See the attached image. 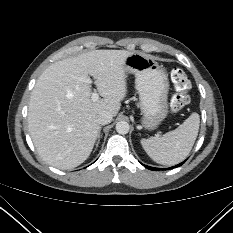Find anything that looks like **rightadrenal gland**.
Segmentation results:
<instances>
[{"instance_id": "obj_1", "label": "right adrenal gland", "mask_w": 233, "mask_h": 233, "mask_svg": "<svg viewBox=\"0 0 233 233\" xmlns=\"http://www.w3.org/2000/svg\"><path fill=\"white\" fill-rule=\"evenodd\" d=\"M101 129H102V126H100V128H99V132H98V139H97V143H96V146H98L99 145V142H100V138H101Z\"/></svg>"}]
</instances>
